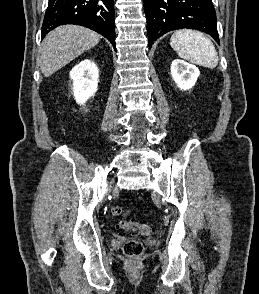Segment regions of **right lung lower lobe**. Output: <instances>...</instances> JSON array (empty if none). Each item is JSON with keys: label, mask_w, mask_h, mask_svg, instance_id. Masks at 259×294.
Masks as SVG:
<instances>
[{"label": "right lung lower lobe", "mask_w": 259, "mask_h": 294, "mask_svg": "<svg viewBox=\"0 0 259 294\" xmlns=\"http://www.w3.org/2000/svg\"><path fill=\"white\" fill-rule=\"evenodd\" d=\"M64 24L90 28L106 37L116 50L113 0H49L42 38Z\"/></svg>", "instance_id": "obj_1"}]
</instances>
